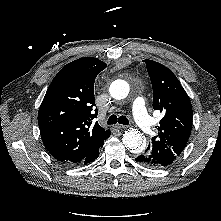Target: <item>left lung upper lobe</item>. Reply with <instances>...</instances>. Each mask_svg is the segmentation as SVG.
I'll use <instances>...</instances> for the list:
<instances>
[{
	"instance_id": "1",
	"label": "left lung upper lobe",
	"mask_w": 221,
	"mask_h": 221,
	"mask_svg": "<svg viewBox=\"0 0 221 221\" xmlns=\"http://www.w3.org/2000/svg\"><path fill=\"white\" fill-rule=\"evenodd\" d=\"M153 87V108L163 113L158 134L143 154L159 167H167L181 154L192 129L190 99L177 77L164 65L146 59Z\"/></svg>"
}]
</instances>
